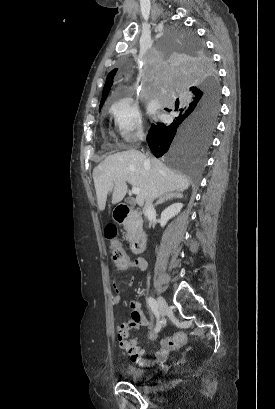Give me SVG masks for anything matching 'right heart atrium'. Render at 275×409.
I'll list each match as a JSON object with an SVG mask.
<instances>
[{"label": "right heart atrium", "instance_id": "right-heart-atrium-1", "mask_svg": "<svg viewBox=\"0 0 275 409\" xmlns=\"http://www.w3.org/2000/svg\"><path fill=\"white\" fill-rule=\"evenodd\" d=\"M115 125L120 137L119 143H139L144 135L141 112L131 100L120 101L113 109Z\"/></svg>", "mask_w": 275, "mask_h": 409}]
</instances>
